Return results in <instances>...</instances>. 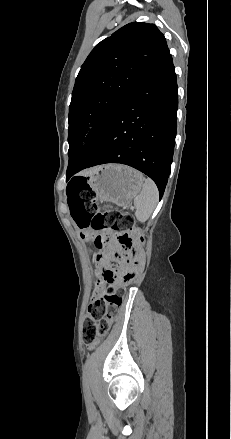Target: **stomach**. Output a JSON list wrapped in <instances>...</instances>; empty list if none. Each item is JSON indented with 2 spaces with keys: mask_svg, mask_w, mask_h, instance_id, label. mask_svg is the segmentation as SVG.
Instances as JSON below:
<instances>
[{
  "mask_svg": "<svg viewBox=\"0 0 231 439\" xmlns=\"http://www.w3.org/2000/svg\"><path fill=\"white\" fill-rule=\"evenodd\" d=\"M83 180L96 193L98 201L112 202L120 207L129 205L144 184V177L140 172L115 164L101 166Z\"/></svg>",
  "mask_w": 231,
  "mask_h": 439,
  "instance_id": "0dacf381",
  "label": "stomach"
}]
</instances>
